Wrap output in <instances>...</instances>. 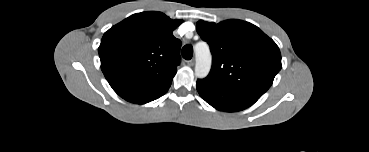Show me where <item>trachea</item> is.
Segmentation results:
<instances>
[{
    "label": "trachea",
    "instance_id": "3493384b",
    "mask_svg": "<svg viewBox=\"0 0 369 152\" xmlns=\"http://www.w3.org/2000/svg\"><path fill=\"white\" fill-rule=\"evenodd\" d=\"M181 54L185 60H190L193 56V47L191 45H185L182 48Z\"/></svg>",
    "mask_w": 369,
    "mask_h": 152
}]
</instances>
